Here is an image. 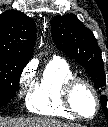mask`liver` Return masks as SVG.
I'll use <instances>...</instances> for the list:
<instances>
[{
	"instance_id": "liver-1",
	"label": "liver",
	"mask_w": 108,
	"mask_h": 127,
	"mask_svg": "<svg viewBox=\"0 0 108 127\" xmlns=\"http://www.w3.org/2000/svg\"><path fill=\"white\" fill-rule=\"evenodd\" d=\"M0 127H80L69 125L51 118L28 117L14 118L9 120L0 119Z\"/></svg>"
}]
</instances>
